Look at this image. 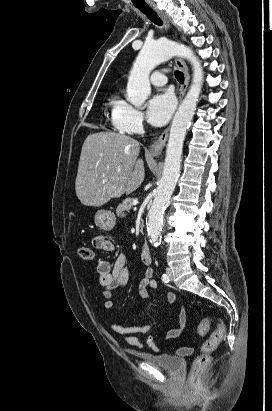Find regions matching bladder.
Here are the masks:
<instances>
[{"label":"bladder","instance_id":"obj_1","mask_svg":"<svg viewBox=\"0 0 272 411\" xmlns=\"http://www.w3.org/2000/svg\"><path fill=\"white\" fill-rule=\"evenodd\" d=\"M140 357L155 365L170 372H177L182 368L183 359L177 355L171 354H141Z\"/></svg>","mask_w":272,"mask_h":411}]
</instances>
